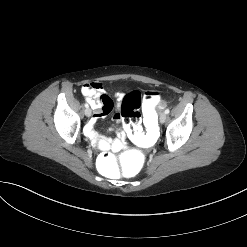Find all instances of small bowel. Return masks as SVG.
<instances>
[{"mask_svg": "<svg viewBox=\"0 0 247 247\" xmlns=\"http://www.w3.org/2000/svg\"><path fill=\"white\" fill-rule=\"evenodd\" d=\"M81 92L85 97L86 101L90 104L94 110L93 119L86 125L85 133L87 137L91 140L94 146L106 151H119L126 147V139L128 136V130L125 128L121 131L118 137L114 140H110L104 137L101 133L95 130V125L98 120L104 119L112 110L113 102L110 97L105 92L103 86L99 82H90L82 86ZM118 107L123 99V94L121 92L116 93ZM121 116L120 112L117 111L114 114L115 119H119Z\"/></svg>", "mask_w": 247, "mask_h": 247, "instance_id": "c3829d8e", "label": "small bowel"}]
</instances>
